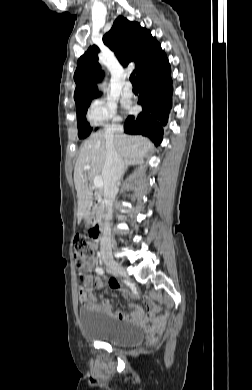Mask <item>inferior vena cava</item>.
<instances>
[{
  "label": "inferior vena cava",
  "instance_id": "obj_1",
  "mask_svg": "<svg viewBox=\"0 0 252 390\" xmlns=\"http://www.w3.org/2000/svg\"><path fill=\"white\" fill-rule=\"evenodd\" d=\"M123 126L112 125L105 131L106 160L102 170L104 180V203L106 211L111 214L113 203L118 192V184L124 170V161L118 154L113 143L114 133H122ZM101 252H111V230L105 225L101 238Z\"/></svg>",
  "mask_w": 252,
  "mask_h": 390
}]
</instances>
